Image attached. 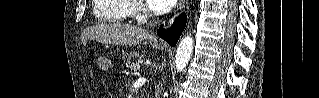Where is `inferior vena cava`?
Returning <instances> with one entry per match:
<instances>
[{"instance_id": "inferior-vena-cava-1", "label": "inferior vena cava", "mask_w": 319, "mask_h": 98, "mask_svg": "<svg viewBox=\"0 0 319 98\" xmlns=\"http://www.w3.org/2000/svg\"><path fill=\"white\" fill-rule=\"evenodd\" d=\"M160 92H161V89L159 88V86H157V88L155 89V97L156 98H159Z\"/></svg>"}]
</instances>
